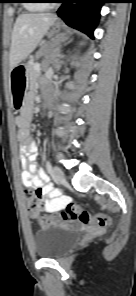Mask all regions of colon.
<instances>
[{
  "mask_svg": "<svg viewBox=\"0 0 136 296\" xmlns=\"http://www.w3.org/2000/svg\"><path fill=\"white\" fill-rule=\"evenodd\" d=\"M41 193L35 191L27 194L26 206L29 213L42 226H51L62 223L68 219L78 220L84 225H95L100 228L110 227L111 218L105 214H91L88 210L77 203H68L60 213L45 216L40 213Z\"/></svg>",
  "mask_w": 136,
  "mask_h": 296,
  "instance_id": "colon-1",
  "label": "colon"
}]
</instances>
